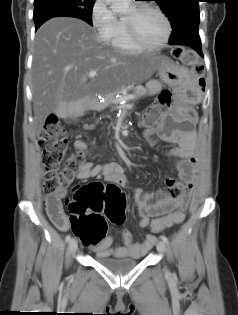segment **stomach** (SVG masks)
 <instances>
[{"mask_svg": "<svg viewBox=\"0 0 238 315\" xmlns=\"http://www.w3.org/2000/svg\"><path fill=\"white\" fill-rule=\"evenodd\" d=\"M162 65L156 70L159 80H164L165 84L173 87V91H180L183 98H186L189 105H177V116H183V122H194L199 116V109H190L201 100L198 87L193 86V72H179L173 61L162 56Z\"/></svg>", "mask_w": 238, "mask_h": 315, "instance_id": "stomach-1", "label": "stomach"}]
</instances>
